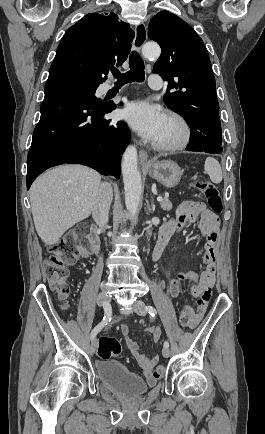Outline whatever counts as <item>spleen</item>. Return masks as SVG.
<instances>
[{"label":"spleen","instance_id":"obj_1","mask_svg":"<svg viewBox=\"0 0 265 434\" xmlns=\"http://www.w3.org/2000/svg\"><path fill=\"white\" fill-rule=\"evenodd\" d=\"M204 170L209 174L211 182H214V184H220V182H222L221 166L215 158H206Z\"/></svg>","mask_w":265,"mask_h":434}]
</instances>
